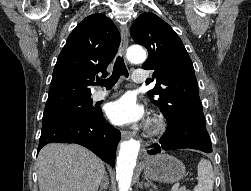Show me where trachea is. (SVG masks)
Masks as SVG:
<instances>
[{
	"label": "trachea",
	"mask_w": 251,
	"mask_h": 191,
	"mask_svg": "<svg viewBox=\"0 0 251 191\" xmlns=\"http://www.w3.org/2000/svg\"><path fill=\"white\" fill-rule=\"evenodd\" d=\"M120 76H125L128 78L129 74L123 58L118 56L114 64L112 75L106 80H97L96 85L105 86L106 89H110L117 83Z\"/></svg>",
	"instance_id": "3493384b"
}]
</instances>
